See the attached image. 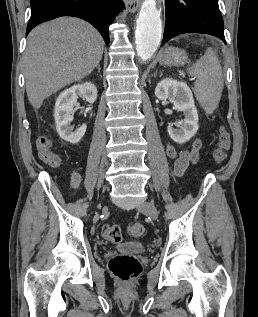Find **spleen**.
Returning a JSON list of instances; mask_svg holds the SVG:
<instances>
[{"label":"spleen","instance_id":"obj_1","mask_svg":"<svg viewBox=\"0 0 258 317\" xmlns=\"http://www.w3.org/2000/svg\"><path fill=\"white\" fill-rule=\"evenodd\" d=\"M187 70L190 76H196L193 90L197 100L207 114H212L219 104L224 86L222 68L215 50L207 48L205 54Z\"/></svg>","mask_w":258,"mask_h":317}]
</instances>
